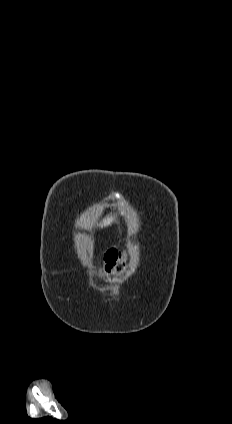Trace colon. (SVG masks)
Segmentation results:
<instances>
[{
    "mask_svg": "<svg viewBox=\"0 0 232 424\" xmlns=\"http://www.w3.org/2000/svg\"><path fill=\"white\" fill-rule=\"evenodd\" d=\"M126 253H120L117 250H108L104 254V270L108 276H117L123 274L126 268Z\"/></svg>",
    "mask_w": 232,
    "mask_h": 424,
    "instance_id": "colon-1",
    "label": "colon"
}]
</instances>
